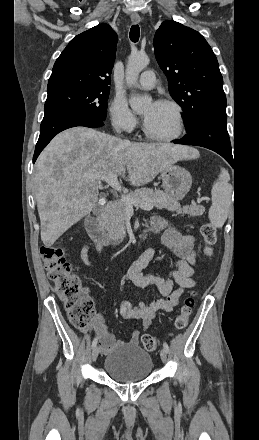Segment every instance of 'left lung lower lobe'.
Segmentation results:
<instances>
[{
    "instance_id": "0a47b994",
    "label": "left lung lower lobe",
    "mask_w": 259,
    "mask_h": 440,
    "mask_svg": "<svg viewBox=\"0 0 259 440\" xmlns=\"http://www.w3.org/2000/svg\"><path fill=\"white\" fill-rule=\"evenodd\" d=\"M174 143L208 148L220 154L230 165L233 164L231 143L227 132V117L204 116L187 129V134L183 138Z\"/></svg>"
}]
</instances>
